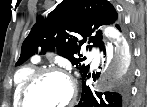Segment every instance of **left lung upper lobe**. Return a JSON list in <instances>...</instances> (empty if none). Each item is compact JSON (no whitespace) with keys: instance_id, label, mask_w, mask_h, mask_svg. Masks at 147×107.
I'll return each mask as SVG.
<instances>
[{"instance_id":"obj_1","label":"left lung upper lobe","mask_w":147,"mask_h":107,"mask_svg":"<svg viewBox=\"0 0 147 107\" xmlns=\"http://www.w3.org/2000/svg\"><path fill=\"white\" fill-rule=\"evenodd\" d=\"M118 21V13L107 0H63L47 17L37 18L22 44L16 66L35 53L54 52L76 65L83 77L88 73L89 65L81 63L85 58H77L76 54L84 44L87 49L99 47L102 50L104 42L97 29Z\"/></svg>"}]
</instances>
